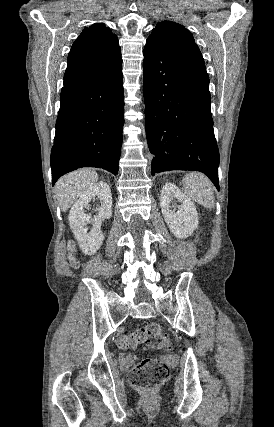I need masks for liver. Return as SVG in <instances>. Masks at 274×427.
<instances>
[{
  "label": "liver",
  "mask_w": 274,
  "mask_h": 427,
  "mask_svg": "<svg viewBox=\"0 0 274 427\" xmlns=\"http://www.w3.org/2000/svg\"><path fill=\"white\" fill-rule=\"evenodd\" d=\"M97 180L98 176L91 168H82V170H76V172H71V174L60 178L55 190L62 212H66L74 204L78 196L88 190L89 186L95 184Z\"/></svg>",
  "instance_id": "1"
}]
</instances>
